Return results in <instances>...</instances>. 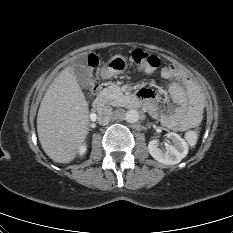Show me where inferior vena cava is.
<instances>
[{"mask_svg":"<svg viewBox=\"0 0 233 233\" xmlns=\"http://www.w3.org/2000/svg\"><path fill=\"white\" fill-rule=\"evenodd\" d=\"M110 106H104L98 110L97 121L100 125H107L111 118H115Z\"/></svg>","mask_w":233,"mask_h":233,"instance_id":"inferior-vena-cava-1","label":"inferior vena cava"}]
</instances>
